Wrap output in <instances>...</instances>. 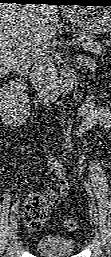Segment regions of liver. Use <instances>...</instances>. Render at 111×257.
<instances>
[{
  "instance_id": "1",
  "label": "liver",
  "mask_w": 111,
  "mask_h": 257,
  "mask_svg": "<svg viewBox=\"0 0 111 257\" xmlns=\"http://www.w3.org/2000/svg\"><path fill=\"white\" fill-rule=\"evenodd\" d=\"M58 26L57 9L47 5H0V74L18 69L37 43L47 42Z\"/></svg>"
}]
</instances>
